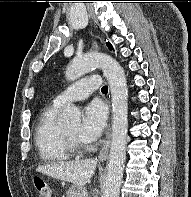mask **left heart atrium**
Returning a JSON list of instances; mask_svg holds the SVG:
<instances>
[{
  "label": "left heart atrium",
  "instance_id": "1",
  "mask_svg": "<svg viewBox=\"0 0 191 197\" xmlns=\"http://www.w3.org/2000/svg\"><path fill=\"white\" fill-rule=\"evenodd\" d=\"M107 111L99 101L89 103L83 111L82 124L77 133L81 142L88 143L96 140L106 126Z\"/></svg>",
  "mask_w": 191,
  "mask_h": 197
}]
</instances>
